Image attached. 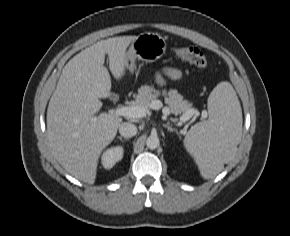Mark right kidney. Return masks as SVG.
<instances>
[{"instance_id": "1", "label": "right kidney", "mask_w": 290, "mask_h": 236, "mask_svg": "<svg viewBox=\"0 0 290 236\" xmlns=\"http://www.w3.org/2000/svg\"><path fill=\"white\" fill-rule=\"evenodd\" d=\"M123 147L115 146L107 149L101 157V163L105 169H111L116 162L120 161L123 157Z\"/></svg>"}]
</instances>
